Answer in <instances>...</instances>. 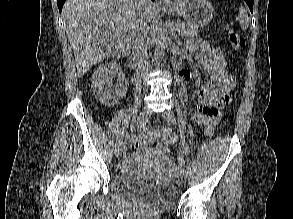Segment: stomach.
I'll list each match as a JSON object with an SVG mask.
<instances>
[{
  "label": "stomach",
  "instance_id": "obj_1",
  "mask_svg": "<svg viewBox=\"0 0 293 219\" xmlns=\"http://www.w3.org/2000/svg\"><path fill=\"white\" fill-rule=\"evenodd\" d=\"M163 8L167 13L179 15L198 28L207 26L214 14L208 0H176L174 3L164 5Z\"/></svg>",
  "mask_w": 293,
  "mask_h": 219
}]
</instances>
